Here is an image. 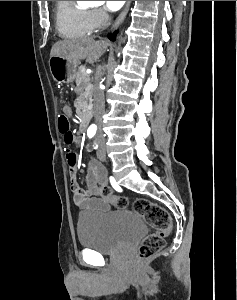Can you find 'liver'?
Returning <instances> with one entry per match:
<instances>
[{"label":"liver","mask_w":237,"mask_h":300,"mask_svg":"<svg viewBox=\"0 0 237 300\" xmlns=\"http://www.w3.org/2000/svg\"><path fill=\"white\" fill-rule=\"evenodd\" d=\"M108 47L107 41H94L93 37H84L78 41H57L51 49V57H66L72 61L96 63L97 59L105 53Z\"/></svg>","instance_id":"6515ba94"}]
</instances>
